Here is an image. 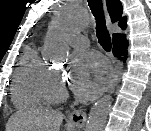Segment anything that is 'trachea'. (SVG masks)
<instances>
[{"mask_svg": "<svg viewBox=\"0 0 151 131\" xmlns=\"http://www.w3.org/2000/svg\"><path fill=\"white\" fill-rule=\"evenodd\" d=\"M96 20V35L98 42L105 51L111 50V37L106 27L102 0H87Z\"/></svg>", "mask_w": 151, "mask_h": 131, "instance_id": "1", "label": "trachea"}]
</instances>
